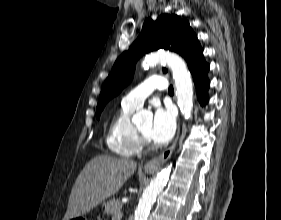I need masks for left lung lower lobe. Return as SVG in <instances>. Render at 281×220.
I'll return each instance as SVG.
<instances>
[{"instance_id": "0a47b994", "label": "left lung lower lobe", "mask_w": 281, "mask_h": 220, "mask_svg": "<svg viewBox=\"0 0 281 220\" xmlns=\"http://www.w3.org/2000/svg\"><path fill=\"white\" fill-rule=\"evenodd\" d=\"M188 68L194 79L198 100L201 105H204L208 102L207 90L210 86V81L207 77L209 64L205 62L203 53L193 58L188 63Z\"/></svg>"}]
</instances>
